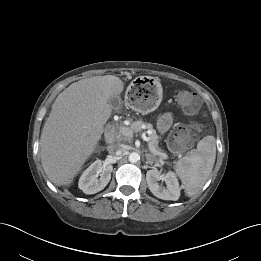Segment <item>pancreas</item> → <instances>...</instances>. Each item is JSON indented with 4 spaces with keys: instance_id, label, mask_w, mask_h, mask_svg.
Wrapping results in <instances>:
<instances>
[{
    "instance_id": "1",
    "label": "pancreas",
    "mask_w": 261,
    "mask_h": 261,
    "mask_svg": "<svg viewBox=\"0 0 261 261\" xmlns=\"http://www.w3.org/2000/svg\"><path fill=\"white\" fill-rule=\"evenodd\" d=\"M132 133H137L142 131V129H147L149 131V143L154 150H150L152 153V158H159L161 160L166 159L167 155L163 152V150L158 146L159 144V136L156 131L153 129V126L149 123H144L142 121H135L131 124L130 127H127Z\"/></svg>"
}]
</instances>
